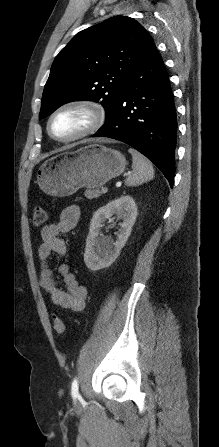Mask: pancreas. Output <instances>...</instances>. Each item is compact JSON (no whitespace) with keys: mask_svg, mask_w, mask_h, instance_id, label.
<instances>
[{"mask_svg":"<svg viewBox=\"0 0 219 447\" xmlns=\"http://www.w3.org/2000/svg\"><path fill=\"white\" fill-rule=\"evenodd\" d=\"M84 195L88 199L98 198L101 195V191L99 188L86 189Z\"/></svg>","mask_w":219,"mask_h":447,"instance_id":"cf45deb5","label":"pancreas"}]
</instances>
